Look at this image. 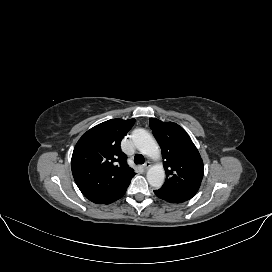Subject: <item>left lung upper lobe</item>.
Segmentation results:
<instances>
[{"instance_id":"obj_1","label":"left lung upper lobe","mask_w":272,"mask_h":272,"mask_svg":"<svg viewBox=\"0 0 272 272\" xmlns=\"http://www.w3.org/2000/svg\"><path fill=\"white\" fill-rule=\"evenodd\" d=\"M150 128L160 144L166 181L160 188L194 196L203 178V161L186 131L173 122L149 119Z\"/></svg>"}]
</instances>
